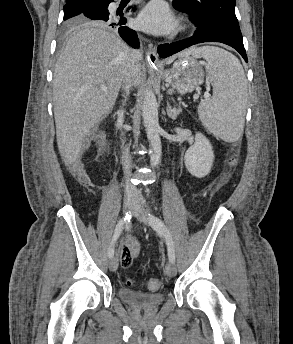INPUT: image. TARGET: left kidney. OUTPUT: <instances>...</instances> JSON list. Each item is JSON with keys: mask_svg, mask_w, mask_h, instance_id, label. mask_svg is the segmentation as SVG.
<instances>
[{"mask_svg": "<svg viewBox=\"0 0 293 344\" xmlns=\"http://www.w3.org/2000/svg\"><path fill=\"white\" fill-rule=\"evenodd\" d=\"M214 152L209 140L201 133H196L195 142L188 148L184 162L189 173L197 178L207 176L213 166Z\"/></svg>", "mask_w": 293, "mask_h": 344, "instance_id": "left-kidney-1", "label": "left kidney"}]
</instances>
